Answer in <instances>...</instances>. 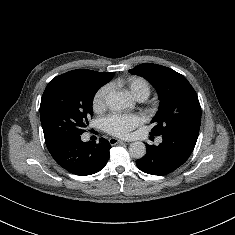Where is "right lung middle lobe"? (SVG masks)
Listing matches in <instances>:
<instances>
[{"label":"right lung middle lobe","mask_w":235,"mask_h":235,"mask_svg":"<svg viewBox=\"0 0 235 235\" xmlns=\"http://www.w3.org/2000/svg\"><path fill=\"white\" fill-rule=\"evenodd\" d=\"M104 84V81L87 74H62L48 83L40 104L47 148L71 135L85 132L93 115L94 95Z\"/></svg>","instance_id":"obj_1"}]
</instances>
